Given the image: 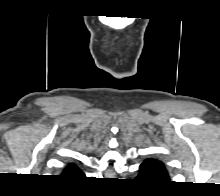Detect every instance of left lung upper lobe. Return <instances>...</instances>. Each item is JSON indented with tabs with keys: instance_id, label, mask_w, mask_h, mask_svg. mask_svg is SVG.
<instances>
[{
	"instance_id": "5c2ea615",
	"label": "left lung upper lobe",
	"mask_w": 220,
	"mask_h": 196,
	"mask_svg": "<svg viewBox=\"0 0 220 196\" xmlns=\"http://www.w3.org/2000/svg\"><path fill=\"white\" fill-rule=\"evenodd\" d=\"M145 161L150 162L153 166H155L160 174L164 177V179H169L168 171L165 168V165L162 161L157 159H146Z\"/></svg>"
}]
</instances>
